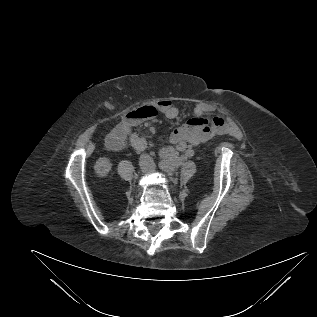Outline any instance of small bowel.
I'll return each mask as SVG.
<instances>
[{"mask_svg":"<svg viewBox=\"0 0 317 317\" xmlns=\"http://www.w3.org/2000/svg\"><path fill=\"white\" fill-rule=\"evenodd\" d=\"M156 107L168 119H175L180 114L179 108L169 99L159 100L156 102ZM210 111L211 107L206 103L195 104L192 108V118L172 132L170 141L180 152V158H191L194 155V146L209 141L217 134L235 133L237 131V128L225 121L222 116L207 118L205 115ZM134 126L135 123L129 120L120 123L107 137V147L115 151L121 150L124 148L127 140L138 151H143L151 146L150 142L134 132ZM113 136H119L122 139L117 148H113L110 145V140ZM161 156L165 159L179 157L172 146L162 148Z\"/></svg>","mask_w":317,"mask_h":317,"instance_id":"small-bowel-1","label":"small bowel"}]
</instances>
